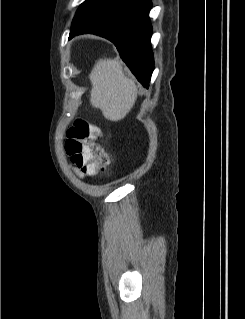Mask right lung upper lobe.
<instances>
[{
  "mask_svg": "<svg viewBox=\"0 0 245 319\" xmlns=\"http://www.w3.org/2000/svg\"><path fill=\"white\" fill-rule=\"evenodd\" d=\"M80 8V7H79ZM85 17V15H83L82 13L76 12V15L74 17L73 23H72V27H71V33L77 32L89 25H91L92 23H82L83 18Z\"/></svg>",
  "mask_w": 245,
  "mask_h": 319,
  "instance_id": "cb5924a9",
  "label": "right lung upper lobe"
}]
</instances>
